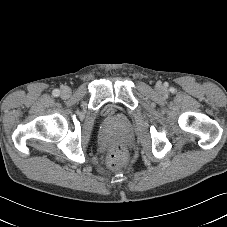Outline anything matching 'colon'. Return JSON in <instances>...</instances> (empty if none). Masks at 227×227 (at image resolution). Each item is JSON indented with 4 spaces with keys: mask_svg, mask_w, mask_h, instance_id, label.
<instances>
[{
    "mask_svg": "<svg viewBox=\"0 0 227 227\" xmlns=\"http://www.w3.org/2000/svg\"><path fill=\"white\" fill-rule=\"evenodd\" d=\"M126 149L122 142H116L111 145L108 154V166L112 170L119 169L125 162Z\"/></svg>",
    "mask_w": 227,
    "mask_h": 227,
    "instance_id": "colon-1",
    "label": "colon"
}]
</instances>
